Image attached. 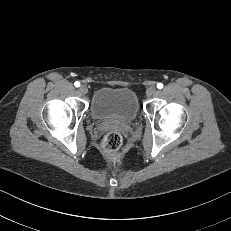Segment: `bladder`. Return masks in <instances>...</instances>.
<instances>
[{
  "instance_id": "1",
  "label": "bladder",
  "mask_w": 231,
  "mask_h": 231,
  "mask_svg": "<svg viewBox=\"0 0 231 231\" xmlns=\"http://www.w3.org/2000/svg\"><path fill=\"white\" fill-rule=\"evenodd\" d=\"M90 111L101 122H131L139 112L135 92L129 88L103 87L92 96Z\"/></svg>"
}]
</instances>
